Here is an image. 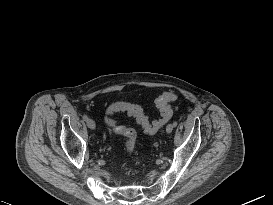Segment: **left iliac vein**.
Instances as JSON below:
<instances>
[{
	"label": "left iliac vein",
	"instance_id": "left-iliac-vein-1",
	"mask_svg": "<svg viewBox=\"0 0 273 205\" xmlns=\"http://www.w3.org/2000/svg\"><path fill=\"white\" fill-rule=\"evenodd\" d=\"M173 128H174L173 124H168L167 127H166V132L171 133Z\"/></svg>",
	"mask_w": 273,
	"mask_h": 205
}]
</instances>
